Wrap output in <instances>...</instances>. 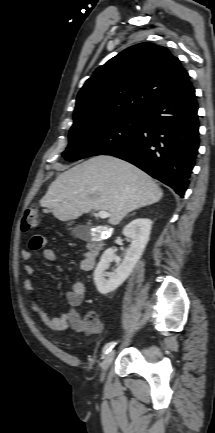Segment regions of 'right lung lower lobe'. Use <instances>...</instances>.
Here are the masks:
<instances>
[{"mask_svg":"<svg viewBox=\"0 0 215 433\" xmlns=\"http://www.w3.org/2000/svg\"><path fill=\"white\" fill-rule=\"evenodd\" d=\"M198 104L191 83L143 114L135 139L104 155L128 161L184 195L199 148Z\"/></svg>","mask_w":215,"mask_h":433,"instance_id":"obj_1","label":"right lung lower lobe"}]
</instances>
